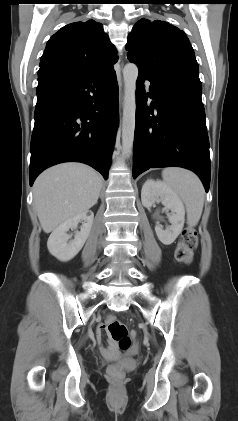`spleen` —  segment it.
Instances as JSON below:
<instances>
[{
  "label": "spleen",
  "instance_id": "spleen-1",
  "mask_svg": "<svg viewBox=\"0 0 238 421\" xmlns=\"http://www.w3.org/2000/svg\"><path fill=\"white\" fill-rule=\"evenodd\" d=\"M164 184L185 204L189 226H196L204 206V188L193 172L177 167L163 169Z\"/></svg>",
  "mask_w": 238,
  "mask_h": 421
}]
</instances>
